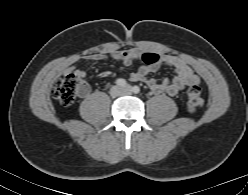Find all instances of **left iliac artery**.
Segmentation results:
<instances>
[{
  "label": "left iliac artery",
  "instance_id": "44dca946",
  "mask_svg": "<svg viewBox=\"0 0 248 195\" xmlns=\"http://www.w3.org/2000/svg\"><path fill=\"white\" fill-rule=\"evenodd\" d=\"M132 91L135 93V94H138L140 92V88L138 86H133L132 87Z\"/></svg>",
  "mask_w": 248,
  "mask_h": 195
}]
</instances>
